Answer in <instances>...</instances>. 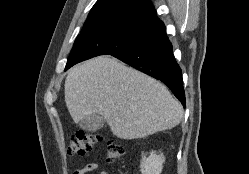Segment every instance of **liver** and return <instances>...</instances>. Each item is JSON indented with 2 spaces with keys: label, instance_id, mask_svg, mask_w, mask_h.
<instances>
[{
  "label": "liver",
  "instance_id": "obj_1",
  "mask_svg": "<svg viewBox=\"0 0 249 174\" xmlns=\"http://www.w3.org/2000/svg\"><path fill=\"white\" fill-rule=\"evenodd\" d=\"M65 102L75 123L100 114L112 133L126 140L172 129L183 116L180 103L165 85L109 56L69 71Z\"/></svg>",
  "mask_w": 249,
  "mask_h": 174
}]
</instances>
